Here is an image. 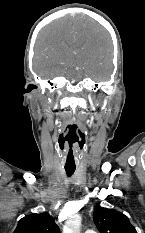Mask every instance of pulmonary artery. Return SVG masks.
<instances>
[{"label": "pulmonary artery", "mask_w": 145, "mask_h": 233, "mask_svg": "<svg viewBox=\"0 0 145 233\" xmlns=\"http://www.w3.org/2000/svg\"><path fill=\"white\" fill-rule=\"evenodd\" d=\"M85 233H96V230L94 229H88L85 231Z\"/></svg>", "instance_id": "obj_1"}]
</instances>
